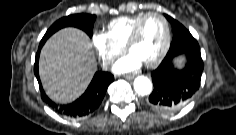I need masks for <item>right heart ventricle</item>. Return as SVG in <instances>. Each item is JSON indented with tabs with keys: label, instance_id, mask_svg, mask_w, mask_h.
<instances>
[{
	"label": "right heart ventricle",
	"instance_id": "right-heart-ventricle-1",
	"mask_svg": "<svg viewBox=\"0 0 236 135\" xmlns=\"http://www.w3.org/2000/svg\"><path fill=\"white\" fill-rule=\"evenodd\" d=\"M145 13L122 16L111 20L106 26V36L116 46L123 48L138 20Z\"/></svg>",
	"mask_w": 236,
	"mask_h": 135
}]
</instances>
